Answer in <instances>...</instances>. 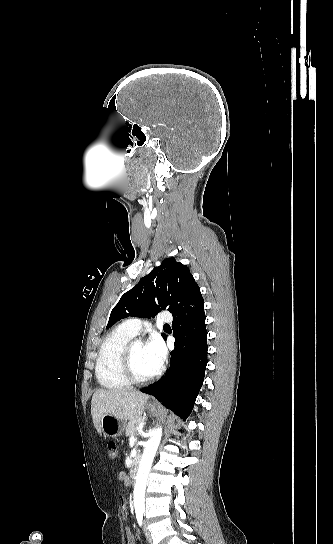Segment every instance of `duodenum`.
<instances>
[{"label": "duodenum", "mask_w": 333, "mask_h": 544, "mask_svg": "<svg viewBox=\"0 0 333 544\" xmlns=\"http://www.w3.org/2000/svg\"><path fill=\"white\" fill-rule=\"evenodd\" d=\"M139 468H140V461H139V459H135V460L132 462V464H131V466H130V470H129L130 476H131L132 478H135V477L137 476V474H138V472H139Z\"/></svg>", "instance_id": "410a0bca"}]
</instances>
